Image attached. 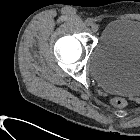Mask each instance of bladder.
I'll use <instances>...</instances> for the list:
<instances>
[{
    "instance_id": "31cf9c89",
    "label": "bladder",
    "mask_w": 140,
    "mask_h": 140,
    "mask_svg": "<svg viewBox=\"0 0 140 140\" xmlns=\"http://www.w3.org/2000/svg\"><path fill=\"white\" fill-rule=\"evenodd\" d=\"M90 72L106 91L140 95V21L108 22L91 53Z\"/></svg>"
}]
</instances>
